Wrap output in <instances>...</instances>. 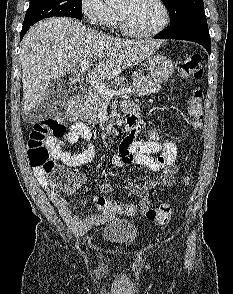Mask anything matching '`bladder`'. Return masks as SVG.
Wrapping results in <instances>:
<instances>
[{"mask_svg":"<svg viewBox=\"0 0 233 294\" xmlns=\"http://www.w3.org/2000/svg\"><path fill=\"white\" fill-rule=\"evenodd\" d=\"M101 236L109 243L127 246L136 240L138 229L127 219H115L102 227Z\"/></svg>","mask_w":233,"mask_h":294,"instance_id":"bladder-1","label":"bladder"}]
</instances>
